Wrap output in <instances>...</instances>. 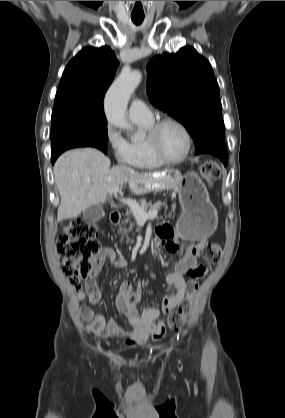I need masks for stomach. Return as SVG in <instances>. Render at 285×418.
<instances>
[{"label": "stomach", "mask_w": 285, "mask_h": 418, "mask_svg": "<svg viewBox=\"0 0 285 418\" xmlns=\"http://www.w3.org/2000/svg\"><path fill=\"white\" fill-rule=\"evenodd\" d=\"M178 195L182 213L177 220L176 229L180 238L196 241L211 236L217 227V211L196 173L190 172L184 176Z\"/></svg>", "instance_id": "0dacf381"}]
</instances>
